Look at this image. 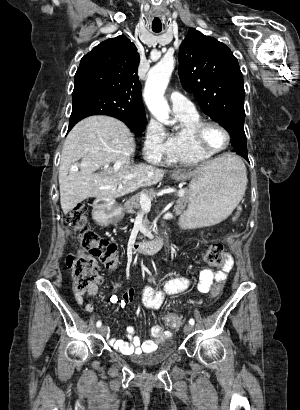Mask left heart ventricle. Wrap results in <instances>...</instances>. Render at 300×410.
Returning <instances> with one entry per match:
<instances>
[{
  "mask_svg": "<svg viewBox=\"0 0 300 410\" xmlns=\"http://www.w3.org/2000/svg\"><path fill=\"white\" fill-rule=\"evenodd\" d=\"M204 140L208 147L220 149L226 144V136L217 126L211 125L205 129Z\"/></svg>",
  "mask_w": 300,
  "mask_h": 410,
  "instance_id": "b2bd125f",
  "label": "left heart ventricle"
}]
</instances>
